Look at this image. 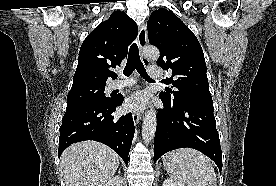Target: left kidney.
<instances>
[{"mask_svg":"<svg viewBox=\"0 0 276 186\" xmlns=\"http://www.w3.org/2000/svg\"><path fill=\"white\" fill-rule=\"evenodd\" d=\"M162 186H185L183 183H180L178 181H174L173 179H166Z\"/></svg>","mask_w":276,"mask_h":186,"instance_id":"1","label":"left kidney"}]
</instances>
